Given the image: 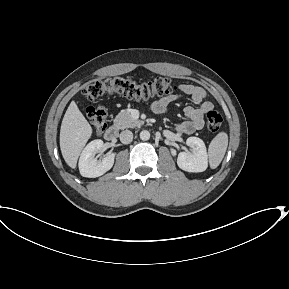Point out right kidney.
Returning <instances> with one entry per match:
<instances>
[{"label": "right kidney", "instance_id": "right-kidney-1", "mask_svg": "<svg viewBox=\"0 0 289 289\" xmlns=\"http://www.w3.org/2000/svg\"><path fill=\"white\" fill-rule=\"evenodd\" d=\"M103 147L100 139L91 141L82 151L79 159V171L83 177L95 178L109 171L114 164V154H109L102 160L95 158Z\"/></svg>", "mask_w": 289, "mask_h": 289}]
</instances>
